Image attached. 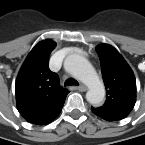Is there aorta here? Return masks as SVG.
Returning a JSON list of instances; mask_svg holds the SVG:
<instances>
[{
  "label": "aorta",
  "instance_id": "1",
  "mask_svg": "<svg viewBox=\"0 0 145 145\" xmlns=\"http://www.w3.org/2000/svg\"><path fill=\"white\" fill-rule=\"evenodd\" d=\"M66 69L88 86L87 101L92 105H100L105 97V87L92 65L82 56L73 54L65 60Z\"/></svg>",
  "mask_w": 145,
  "mask_h": 145
}]
</instances>
